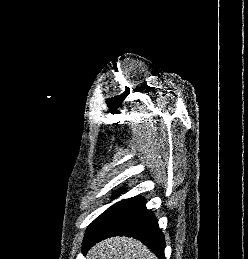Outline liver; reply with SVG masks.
Masks as SVG:
<instances>
[{"label":"liver","mask_w":248,"mask_h":259,"mask_svg":"<svg viewBox=\"0 0 248 259\" xmlns=\"http://www.w3.org/2000/svg\"><path fill=\"white\" fill-rule=\"evenodd\" d=\"M86 259H157L140 241L128 237H112L93 246Z\"/></svg>","instance_id":"liver-1"}]
</instances>
